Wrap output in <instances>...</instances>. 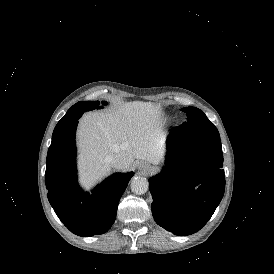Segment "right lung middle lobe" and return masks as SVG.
Returning <instances> with one entry per match:
<instances>
[{
    "label": "right lung middle lobe",
    "mask_w": 274,
    "mask_h": 274,
    "mask_svg": "<svg viewBox=\"0 0 274 274\" xmlns=\"http://www.w3.org/2000/svg\"><path fill=\"white\" fill-rule=\"evenodd\" d=\"M99 104L100 102L99 101H82V102H78L76 103L75 105H73L69 110L68 112L66 113V115L58 122V124L56 125L55 129H54V132H53V136H56L58 133H60L63 129L66 128L67 126V122H66V119L69 118V113L71 111H73L74 109H81L83 110L84 112L85 111H89V110H93L95 108H102V107H99ZM102 104H106L104 102H102Z\"/></svg>",
    "instance_id": "obj_1"
}]
</instances>
